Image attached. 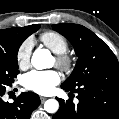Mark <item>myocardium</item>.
Masks as SVG:
<instances>
[{"instance_id":"f54148a6","label":"myocardium","mask_w":119,"mask_h":119,"mask_svg":"<svg viewBox=\"0 0 119 119\" xmlns=\"http://www.w3.org/2000/svg\"><path fill=\"white\" fill-rule=\"evenodd\" d=\"M55 64L61 70L65 72H70L73 67V60L67 52L56 54Z\"/></svg>"}]
</instances>
